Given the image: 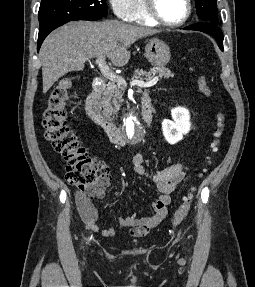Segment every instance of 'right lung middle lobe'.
Listing matches in <instances>:
<instances>
[{"label": "right lung middle lobe", "mask_w": 255, "mask_h": 287, "mask_svg": "<svg viewBox=\"0 0 255 287\" xmlns=\"http://www.w3.org/2000/svg\"><path fill=\"white\" fill-rule=\"evenodd\" d=\"M107 16L106 0H41L40 29L74 20H99Z\"/></svg>", "instance_id": "right-lung-middle-lobe-1"}]
</instances>
